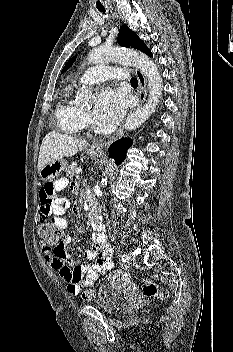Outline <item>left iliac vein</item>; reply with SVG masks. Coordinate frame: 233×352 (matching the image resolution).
Segmentation results:
<instances>
[{"instance_id":"1","label":"left iliac vein","mask_w":233,"mask_h":352,"mask_svg":"<svg viewBox=\"0 0 233 352\" xmlns=\"http://www.w3.org/2000/svg\"><path fill=\"white\" fill-rule=\"evenodd\" d=\"M127 256H128V263H134L135 262V257H134V255H133V253H128L127 254Z\"/></svg>"}]
</instances>
